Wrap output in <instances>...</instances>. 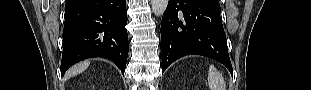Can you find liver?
<instances>
[{
  "instance_id": "liver-1",
  "label": "liver",
  "mask_w": 311,
  "mask_h": 90,
  "mask_svg": "<svg viewBox=\"0 0 311 90\" xmlns=\"http://www.w3.org/2000/svg\"><path fill=\"white\" fill-rule=\"evenodd\" d=\"M89 65H90V61H84V62L77 64L69 71L68 76L69 77L74 76L78 73L83 72L84 70L88 68Z\"/></svg>"
}]
</instances>
